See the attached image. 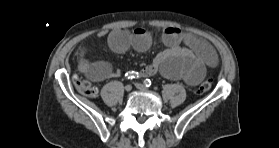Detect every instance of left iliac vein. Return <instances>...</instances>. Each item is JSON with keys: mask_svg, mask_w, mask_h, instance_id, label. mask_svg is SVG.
<instances>
[{"mask_svg": "<svg viewBox=\"0 0 279 148\" xmlns=\"http://www.w3.org/2000/svg\"><path fill=\"white\" fill-rule=\"evenodd\" d=\"M135 86H136L137 89H139L141 91H147L148 90V88L141 83H136Z\"/></svg>", "mask_w": 279, "mask_h": 148, "instance_id": "4c4485c4", "label": "left iliac vein"}]
</instances>
